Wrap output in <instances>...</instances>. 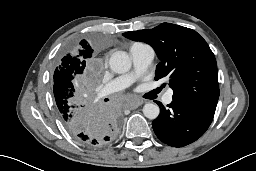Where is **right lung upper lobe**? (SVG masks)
Wrapping results in <instances>:
<instances>
[{
	"label": "right lung upper lobe",
	"instance_id": "cb5924a9",
	"mask_svg": "<svg viewBox=\"0 0 256 171\" xmlns=\"http://www.w3.org/2000/svg\"><path fill=\"white\" fill-rule=\"evenodd\" d=\"M80 44L82 45V48L83 50L80 51V55L83 56L84 58H90L92 56V52L93 50L91 49V47L88 45L87 41L86 40H82L80 42ZM75 58L77 60H79V55L75 56ZM80 61V60H79ZM80 63H84L85 65V61H80ZM57 104V103H56ZM57 108H58V112H59V115L60 116H64L65 118V122H69L70 119H68V115L69 114V111H70V108L71 106L69 105V103L65 104V101H59V103L57 104ZM63 111H64V114H63ZM63 114V115H62ZM63 118V117H62ZM69 118H70V115H69ZM72 119V118H71Z\"/></svg>",
	"mask_w": 256,
	"mask_h": 171
}]
</instances>
